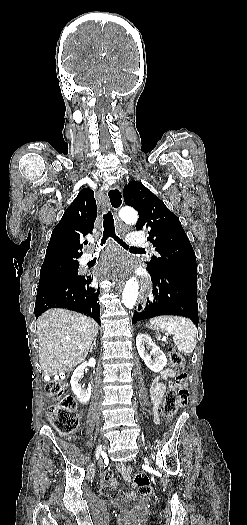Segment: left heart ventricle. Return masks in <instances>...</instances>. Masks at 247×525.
Returning a JSON list of instances; mask_svg holds the SVG:
<instances>
[{"label":"left heart ventricle","instance_id":"1","mask_svg":"<svg viewBox=\"0 0 247 525\" xmlns=\"http://www.w3.org/2000/svg\"><path fill=\"white\" fill-rule=\"evenodd\" d=\"M138 264H131L129 265L128 269L127 270H132V269H135L137 267Z\"/></svg>","mask_w":247,"mask_h":525}]
</instances>
